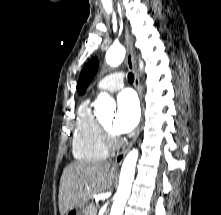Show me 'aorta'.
<instances>
[{
	"instance_id": "aorta-1",
	"label": "aorta",
	"mask_w": 221,
	"mask_h": 215,
	"mask_svg": "<svg viewBox=\"0 0 221 215\" xmlns=\"http://www.w3.org/2000/svg\"><path fill=\"white\" fill-rule=\"evenodd\" d=\"M125 58V48L122 45H112L106 52V63L111 67L120 65ZM140 68L142 69L143 63L140 62ZM96 112L105 110L108 107L114 109L115 102L107 94L101 93L97 97L94 103ZM138 159V150H131L125 157L119 179V188L114 196V202L110 211V215H122L124 206L129 198L131 192L132 182L134 180L136 162Z\"/></svg>"
}]
</instances>
